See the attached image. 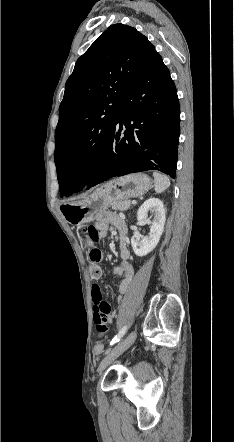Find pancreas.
Here are the masks:
<instances>
[{"label":"pancreas","instance_id":"cf45deb5","mask_svg":"<svg viewBox=\"0 0 234 442\" xmlns=\"http://www.w3.org/2000/svg\"><path fill=\"white\" fill-rule=\"evenodd\" d=\"M130 207V200L126 199V200H122V201H117L111 204V208L113 210H120V211H125L128 210Z\"/></svg>","mask_w":234,"mask_h":442}]
</instances>
